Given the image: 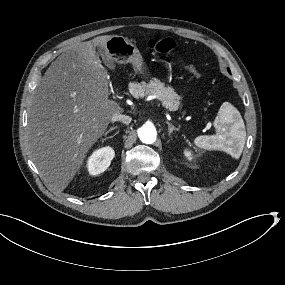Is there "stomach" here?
<instances>
[{"instance_id":"obj_1","label":"stomach","mask_w":285,"mask_h":285,"mask_svg":"<svg viewBox=\"0 0 285 285\" xmlns=\"http://www.w3.org/2000/svg\"><path fill=\"white\" fill-rule=\"evenodd\" d=\"M106 49L112 60L119 63H131L138 74L147 75L146 62L139 49L128 38L114 35L107 41Z\"/></svg>"}]
</instances>
